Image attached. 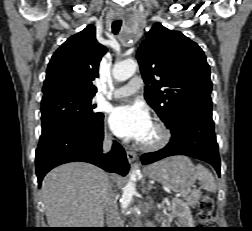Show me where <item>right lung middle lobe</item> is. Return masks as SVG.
I'll list each match as a JSON object with an SVG mask.
<instances>
[{
    "mask_svg": "<svg viewBox=\"0 0 252 231\" xmlns=\"http://www.w3.org/2000/svg\"><path fill=\"white\" fill-rule=\"evenodd\" d=\"M92 98L65 93L42 99V131L63 123L97 125L104 115L94 111Z\"/></svg>",
    "mask_w": 252,
    "mask_h": 231,
    "instance_id": "dd1d6c3e",
    "label": "right lung middle lobe"
}]
</instances>
